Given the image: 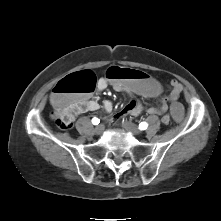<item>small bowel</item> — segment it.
Instances as JSON below:
<instances>
[{
    "label": "small bowel",
    "mask_w": 221,
    "mask_h": 221,
    "mask_svg": "<svg viewBox=\"0 0 221 221\" xmlns=\"http://www.w3.org/2000/svg\"><path fill=\"white\" fill-rule=\"evenodd\" d=\"M109 85V82H107L106 78H100L97 82L96 88L98 92H102L104 91ZM113 89L115 91L118 92H126L130 95H134L137 94L135 93V91H133L132 89L128 88L127 86L119 83V84H111ZM182 93V85L176 81V80H172L171 81V92L170 95L168 97L167 94H160L159 95V102L163 103V105L155 107V108H150L147 110V112L149 114H158L161 116V120L164 124H167L170 120V116H169V108L166 104L168 100L169 102L171 101H177L178 98L180 97ZM139 95V94H138ZM77 104L79 106L78 111L76 112L75 116H74V120L75 118L85 112L88 111H97L100 108V105L98 103L97 100L93 99L91 97L90 94H84L82 96H80L77 100ZM103 108L105 109L106 112H110L113 109V104L110 101H105ZM143 111V106L137 102L136 100H131L118 114L115 115V117L113 118V122H117L118 120L124 118L127 115H139L141 114ZM73 120V121H74Z\"/></svg>",
    "instance_id": "c3829d8e"
}]
</instances>
